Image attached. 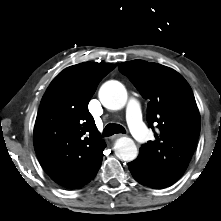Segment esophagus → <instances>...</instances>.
<instances>
[{
    "label": "esophagus",
    "instance_id": "34e87169",
    "mask_svg": "<svg viewBox=\"0 0 221 221\" xmlns=\"http://www.w3.org/2000/svg\"><path fill=\"white\" fill-rule=\"evenodd\" d=\"M123 136H125V135H123V134H117V135L114 136V138H120V137H123Z\"/></svg>",
    "mask_w": 221,
    "mask_h": 221
}]
</instances>
